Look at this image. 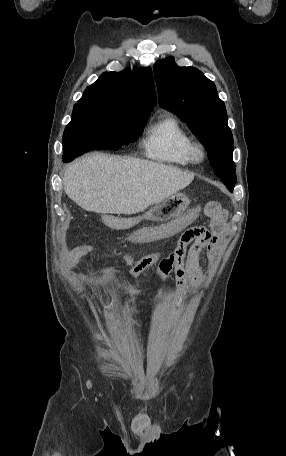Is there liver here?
Wrapping results in <instances>:
<instances>
[{"mask_svg":"<svg viewBox=\"0 0 286 456\" xmlns=\"http://www.w3.org/2000/svg\"><path fill=\"white\" fill-rule=\"evenodd\" d=\"M194 174L162 163L91 153L67 167L64 191L86 211L132 215L187 187Z\"/></svg>","mask_w":286,"mask_h":456,"instance_id":"obj_1","label":"liver"}]
</instances>
